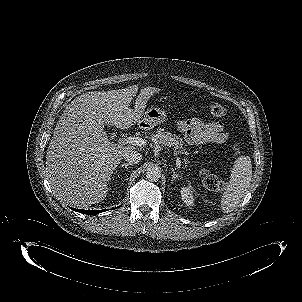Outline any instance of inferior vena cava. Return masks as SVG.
<instances>
[{"instance_id": "obj_1", "label": "inferior vena cava", "mask_w": 302, "mask_h": 302, "mask_svg": "<svg viewBox=\"0 0 302 302\" xmlns=\"http://www.w3.org/2000/svg\"><path fill=\"white\" fill-rule=\"evenodd\" d=\"M123 158L131 164H137L141 161L142 155L134 149H127L123 153Z\"/></svg>"}]
</instances>
